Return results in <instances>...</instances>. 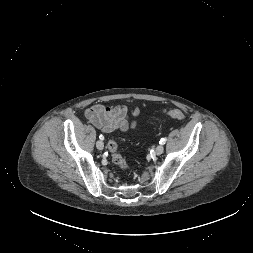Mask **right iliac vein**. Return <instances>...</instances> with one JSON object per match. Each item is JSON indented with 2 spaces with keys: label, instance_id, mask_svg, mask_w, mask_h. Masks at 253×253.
Segmentation results:
<instances>
[{
  "label": "right iliac vein",
  "instance_id": "obj_1",
  "mask_svg": "<svg viewBox=\"0 0 253 253\" xmlns=\"http://www.w3.org/2000/svg\"><path fill=\"white\" fill-rule=\"evenodd\" d=\"M96 147H97V149H99V150H103V148H104V143H103L101 140H98V141L96 142Z\"/></svg>",
  "mask_w": 253,
  "mask_h": 253
}]
</instances>
